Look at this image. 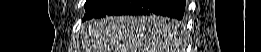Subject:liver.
Segmentation results:
<instances>
[{
	"label": "liver",
	"instance_id": "1",
	"mask_svg": "<svg viewBox=\"0 0 261 52\" xmlns=\"http://www.w3.org/2000/svg\"><path fill=\"white\" fill-rule=\"evenodd\" d=\"M180 27L162 16H109L86 23L87 52H174Z\"/></svg>",
	"mask_w": 261,
	"mask_h": 52
}]
</instances>
